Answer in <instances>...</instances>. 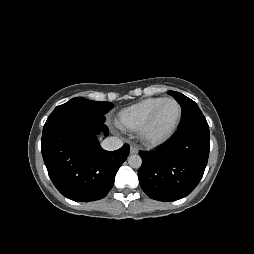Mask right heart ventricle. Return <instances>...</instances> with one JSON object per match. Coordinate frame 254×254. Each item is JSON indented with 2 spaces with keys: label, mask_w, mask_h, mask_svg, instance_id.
<instances>
[{
  "label": "right heart ventricle",
  "mask_w": 254,
  "mask_h": 254,
  "mask_svg": "<svg viewBox=\"0 0 254 254\" xmlns=\"http://www.w3.org/2000/svg\"><path fill=\"white\" fill-rule=\"evenodd\" d=\"M164 97H152L141 100L122 109L117 118L120 127L130 131H138L153 109Z\"/></svg>",
  "instance_id": "1"
}]
</instances>
